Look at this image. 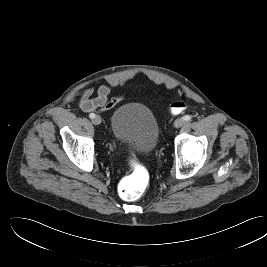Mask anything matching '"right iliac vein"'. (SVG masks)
I'll use <instances>...</instances> for the list:
<instances>
[{"mask_svg":"<svg viewBox=\"0 0 267 267\" xmlns=\"http://www.w3.org/2000/svg\"><path fill=\"white\" fill-rule=\"evenodd\" d=\"M101 122H102V120H101V117H100V116H95V117L92 119V123H93L94 125H100Z\"/></svg>","mask_w":267,"mask_h":267,"instance_id":"1","label":"right iliac vein"}]
</instances>
